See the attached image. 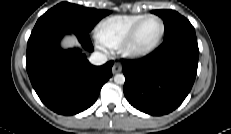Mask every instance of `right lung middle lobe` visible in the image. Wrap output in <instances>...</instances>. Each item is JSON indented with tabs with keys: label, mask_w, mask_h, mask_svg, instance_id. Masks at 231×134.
<instances>
[{
	"label": "right lung middle lobe",
	"mask_w": 231,
	"mask_h": 134,
	"mask_svg": "<svg viewBox=\"0 0 231 134\" xmlns=\"http://www.w3.org/2000/svg\"><path fill=\"white\" fill-rule=\"evenodd\" d=\"M110 11L85 8L80 5L62 2L48 10L37 21L34 29L50 23L73 26L89 33L93 26Z\"/></svg>",
	"instance_id": "obj_1"
}]
</instances>
